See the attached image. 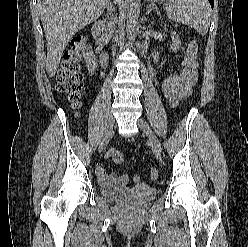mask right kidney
<instances>
[{"label": "right kidney", "mask_w": 248, "mask_h": 247, "mask_svg": "<svg viewBox=\"0 0 248 247\" xmlns=\"http://www.w3.org/2000/svg\"><path fill=\"white\" fill-rule=\"evenodd\" d=\"M83 55L85 57V61L87 63V67H88V72L90 75H93L96 68H97V59L95 57V55L93 54V52L91 51V47H85V49H83Z\"/></svg>", "instance_id": "obj_1"}]
</instances>
